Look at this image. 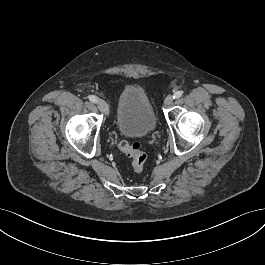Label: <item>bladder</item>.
Here are the masks:
<instances>
[{"mask_svg":"<svg viewBox=\"0 0 265 265\" xmlns=\"http://www.w3.org/2000/svg\"><path fill=\"white\" fill-rule=\"evenodd\" d=\"M156 116L151 101L139 86L125 87L119 94L116 107V125L128 137L144 138L154 132Z\"/></svg>","mask_w":265,"mask_h":265,"instance_id":"bladder-1","label":"bladder"}]
</instances>
